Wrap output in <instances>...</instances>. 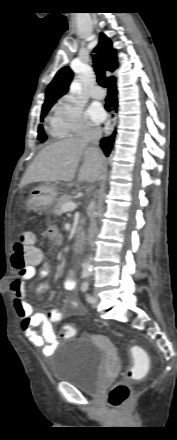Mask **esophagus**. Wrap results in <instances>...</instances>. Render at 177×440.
I'll use <instances>...</instances> for the list:
<instances>
[{"label":"esophagus","mask_w":177,"mask_h":440,"mask_svg":"<svg viewBox=\"0 0 177 440\" xmlns=\"http://www.w3.org/2000/svg\"><path fill=\"white\" fill-rule=\"evenodd\" d=\"M116 119H117L116 113H115L114 109L111 108L110 112H109L108 120H107L105 127H104V133L106 136L110 135L113 132L114 127L116 125Z\"/></svg>","instance_id":"34e87169"}]
</instances>
